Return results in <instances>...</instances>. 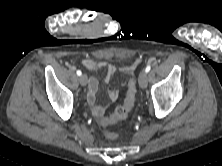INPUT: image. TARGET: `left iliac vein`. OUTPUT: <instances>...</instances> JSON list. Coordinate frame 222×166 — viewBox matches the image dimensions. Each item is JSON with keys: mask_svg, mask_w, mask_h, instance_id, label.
I'll list each match as a JSON object with an SVG mask.
<instances>
[{"mask_svg": "<svg viewBox=\"0 0 222 166\" xmlns=\"http://www.w3.org/2000/svg\"><path fill=\"white\" fill-rule=\"evenodd\" d=\"M147 73L145 71H141L138 77V83L141 88L147 87Z\"/></svg>", "mask_w": 222, "mask_h": 166, "instance_id": "left-iliac-vein-1", "label": "left iliac vein"}]
</instances>
